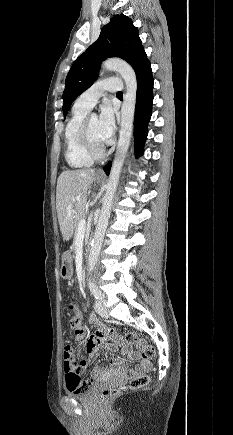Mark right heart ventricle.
Wrapping results in <instances>:
<instances>
[{"instance_id": "1", "label": "right heart ventricle", "mask_w": 233, "mask_h": 435, "mask_svg": "<svg viewBox=\"0 0 233 435\" xmlns=\"http://www.w3.org/2000/svg\"><path fill=\"white\" fill-rule=\"evenodd\" d=\"M87 113L86 110L75 106L65 126V159L72 168H86L93 164V160L83 150L79 136L81 124Z\"/></svg>"}]
</instances>
